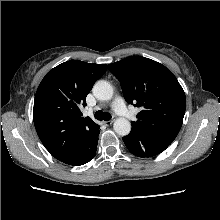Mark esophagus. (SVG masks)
<instances>
[{
  "instance_id": "obj_1",
  "label": "esophagus",
  "mask_w": 220,
  "mask_h": 220,
  "mask_svg": "<svg viewBox=\"0 0 220 220\" xmlns=\"http://www.w3.org/2000/svg\"><path fill=\"white\" fill-rule=\"evenodd\" d=\"M114 121H115V119H111V120H108V121H104L103 123H104L106 126H109V125L113 124Z\"/></svg>"
}]
</instances>
